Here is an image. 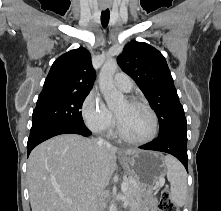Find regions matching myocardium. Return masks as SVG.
<instances>
[{
  "label": "myocardium",
  "instance_id": "myocardium-1",
  "mask_svg": "<svg viewBox=\"0 0 221 211\" xmlns=\"http://www.w3.org/2000/svg\"><path fill=\"white\" fill-rule=\"evenodd\" d=\"M127 101L130 104L139 105V106L144 107L150 113V115L152 117V122H153L152 131H151L150 135L145 139H141V140L132 139V138L128 137L123 132L121 125L119 123V120L116 116V132H117L118 137L121 140H123L129 144H133V145H144V144L151 142L152 140H154V138L156 137L157 132H158V117L156 115V112L147 102H145L139 98L130 97L127 99Z\"/></svg>",
  "mask_w": 221,
  "mask_h": 211
}]
</instances>
